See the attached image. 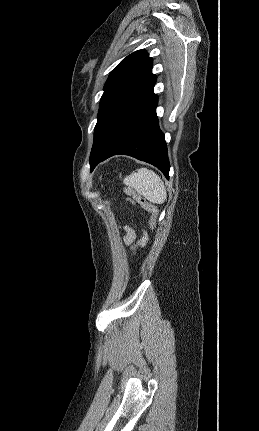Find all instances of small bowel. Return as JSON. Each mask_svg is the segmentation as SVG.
I'll return each instance as SVG.
<instances>
[{"label": "small bowel", "mask_w": 259, "mask_h": 431, "mask_svg": "<svg viewBox=\"0 0 259 431\" xmlns=\"http://www.w3.org/2000/svg\"><path fill=\"white\" fill-rule=\"evenodd\" d=\"M124 240L126 244L131 245L133 247L144 246L147 241V236L143 235L139 241L135 242L136 241L135 231L130 228H126V234H125Z\"/></svg>", "instance_id": "c3829d8e"}]
</instances>
